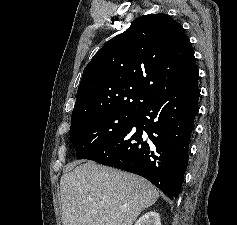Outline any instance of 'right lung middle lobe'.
Here are the masks:
<instances>
[{
	"mask_svg": "<svg viewBox=\"0 0 237 225\" xmlns=\"http://www.w3.org/2000/svg\"><path fill=\"white\" fill-rule=\"evenodd\" d=\"M136 113H103L74 122L70 138L78 159H83L102 148L133 121Z\"/></svg>",
	"mask_w": 237,
	"mask_h": 225,
	"instance_id": "obj_1",
	"label": "right lung middle lobe"
}]
</instances>
